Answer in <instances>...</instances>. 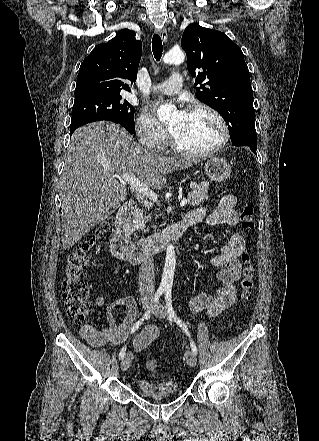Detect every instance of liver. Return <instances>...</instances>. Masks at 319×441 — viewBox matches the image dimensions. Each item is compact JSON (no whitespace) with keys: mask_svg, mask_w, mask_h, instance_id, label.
<instances>
[{"mask_svg":"<svg viewBox=\"0 0 319 441\" xmlns=\"http://www.w3.org/2000/svg\"><path fill=\"white\" fill-rule=\"evenodd\" d=\"M195 163L144 149L116 123L97 121L78 128L60 180L63 249L69 250L125 200L127 189L116 181V172L137 173L142 183L159 189L168 173Z\"/></svg>","mask_w":319,"mask_h":441,"instance_id":"6515ba94","label":"liver"}]
</instances>
